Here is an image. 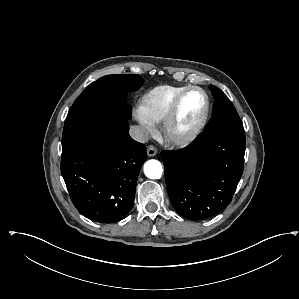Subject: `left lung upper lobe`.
<instances>
[{
  "label": "left lung upper lobe",
  "mask_w": 299,
  "mask_h": 299,
  "mask_svg": "<svg viewBox=\"0 0 299 299\" xmlns=\"http://www.w3.org/2000/svg\"><path fill=\"white\" fill-rule=\"evenodd\" d=\"M209 88L214 97V106L212 118L205 128V131L217 128H236L243 130L239 115L225 93L213 85H210Z\"/></svg>",
  "instance_id": "obj_1"
}]
</instances>
